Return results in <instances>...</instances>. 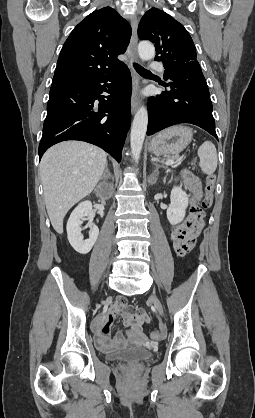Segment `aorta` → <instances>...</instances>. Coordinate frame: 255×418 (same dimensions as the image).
<instances>
[{"label": "aorta", "instance_id": "762f6f07", "mask_svg": "<svg viewBox=\"0 0 255 418\" xmlns=\"http://www.w3.org/2000/svg\"><path fill=\"white\" fill-rule=\"evenodd\" d=\"M138 53L142 60H150L155 55L154 46L148 41H142L138 45ZM148 125V112L142 106L135 114L130 134L131 153L134 161L137 163L142 150L146 130Z\"/></svg>", "mask_w": 255, "mask_h": 418}]
</instances>
